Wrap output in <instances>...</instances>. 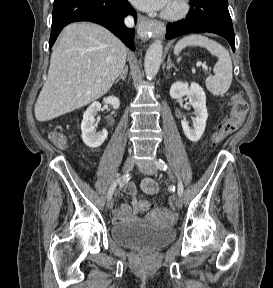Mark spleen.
<instances>
[{"mask_svg": "<svg viewBox=\"0 0 273 288\" xmlns=\"http://www.w3.org/2000/svg\"><path fill=\"white\" fill-rule=\"evenodd\" d=\"M187 46L206 48L212 55L218 57L213 76L206 79L207 89L214 95H223L230 88L232 82V61L228 51L216 41L200 34H192L180 39L174 47V54L179 53Z\"/></svg>", "mask_w": 273, "mask_h": 288, "instance_id": "spleen-1", "label": "spleen"}]
</instances>
